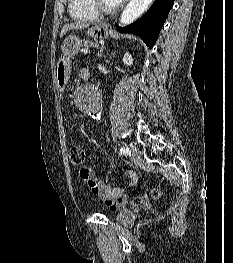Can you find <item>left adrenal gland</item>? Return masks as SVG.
I'll list each match as a JSON object with an SVG mask.
<instances>
[{
    "label": "left adrenal gland",
    "mask_w": 233,
    "mask_h": 263,
    "mask_svg": "<svg viewBox=\"0 0 233 263\" xmlns=\"http://www.w3.org/2000/svg\"><path fill=\"white\" fill-rule=\"evenodd\" d=\"M99 56L103 55V47L101 48L100 52L98 53Z\"/></svg>",
    "instance_id": "obj_1"
}]
</instances>
